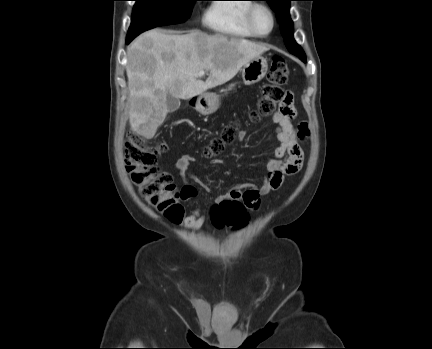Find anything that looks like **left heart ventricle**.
Here are the masks:
<instances>
[{
  "instance_id": "1",
  "label": "left heart ventricle",
  "mask_w": 432,
  "mask_h": 349,
  "mask_svg": "<svg viewBox=\"0 0 432 349\" xmlns=\"http://www.w3.org/2000/svg\"><path fill=\"white\" fill-rule=\"evenodd\" d=\"M254 23L260 33H267L271 28V18L267 11L259 9L254 16Z\"/></svg>"
}]
</instances>
